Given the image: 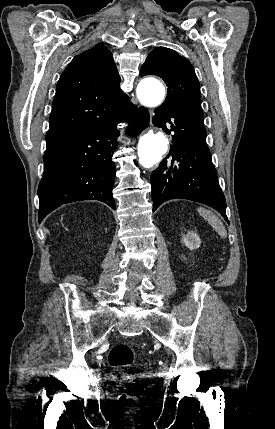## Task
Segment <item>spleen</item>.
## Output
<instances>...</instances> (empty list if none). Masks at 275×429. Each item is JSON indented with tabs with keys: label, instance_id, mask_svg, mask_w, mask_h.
Returning <instances> with one entry per match:
<instances>
[{
	"label": "spleen",
	"instance_id": "1",
	"mask_svg": "<svg viewBox=\"0 0 275 429\" xmlns=\"http://www.w3.org/2000/svg\"><path fill=\"white\" fill-rule=\"evenodd\" d=\"M197 211L222 238L227 237V231L223 223L213 212L205 208H198Z\"/></svg>",
	"mask_w": 275,
	"mask_h": 429
}]
</instances>
